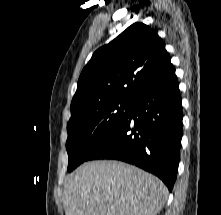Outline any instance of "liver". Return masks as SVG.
Wrapping results in <instances>:
<instances>
[{"label": "liver", "instance_id": "obj_1", "mask_svg": "<svg viewBox=\"0 0 221 215\" xmlns=\"http://www.w3.org/2000/svg\"><path fill=\"white\" fill-rule=\"evenodd\" d=\"M168 189L156 176L117 161L87 162L66 178V215H157Z\"/></svg>", "mask_w": 221, "mask_h": 215}]
</instances>
